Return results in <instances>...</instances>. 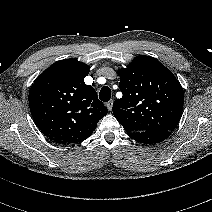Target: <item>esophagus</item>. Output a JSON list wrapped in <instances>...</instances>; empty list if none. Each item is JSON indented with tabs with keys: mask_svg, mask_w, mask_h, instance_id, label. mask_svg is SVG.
<instances>
[{
	"mask_svg": "<svg viewBox=\"0 0 212 212\" xmlns=\"http://www.w3.org/2000/svg\"><path fill=\"white\" fill-rule=\"evenodd\" d=\"M106 106H107L108 110L111 111L112 108H113V100L108 101V102L106 103Z\"/></svg>",
	"mask_w": 212,
	"mask_h": 212,
	"instance_id": "obj_1",
	"label": "esophagus"
}]
</instances>
